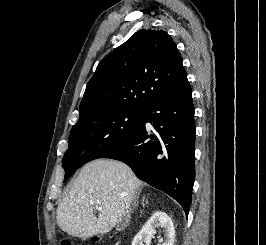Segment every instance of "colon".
Here are the masks:
<instances>
[{
  "mask_svg": "<svg viewBox=\"0 0 266 245\" xmlns=\"http://www.w3.org/2000/svg\"><path fill=\"white\" fill-rule=\"evenodd\" d=\"M61 245H72V243L69 240H63Z\"/></svg>",
  "mask_w": 266,
  "mask_h": 245,
  "instance_id": "colon-1",
  "label": "colon"
}]
</instances>
